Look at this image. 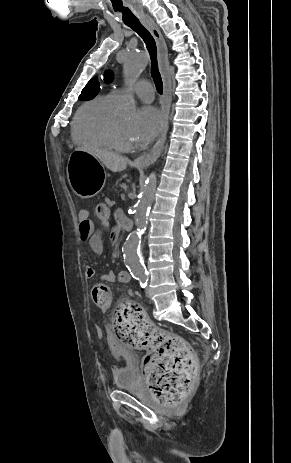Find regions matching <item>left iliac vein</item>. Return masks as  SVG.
Instances as JSON below:
<instances>
[{
  "label": "left iliac vein",
  "instance_id": "left-iliac-vein-1",
  "mask_svg": "<svg viewBox=\"0 0 291 463\" xmlns=\"http://www.w3.org/2000/svg\"><path fill=\"white\" fill-rule=\"evenodd\" d=\"M146 296H147V297H150L149 288H148V287L146 288Z\"/></svg>",
  "mask_w": 291,
  "mask_h": 463
}]
</instances>
